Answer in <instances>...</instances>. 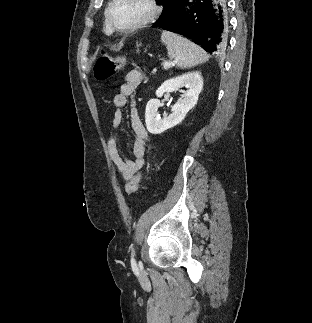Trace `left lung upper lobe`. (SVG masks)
Instances as JSON below:
<instances>
[{
    "label": "left lung upper lobe",
    "instance_id": "left-lung-upper-lobe-1",
    "mask_svg": "<svg viewBox=\"0 0 312 323\" xmlns=\"http://www.w3.org/2000/svg\"><path fill=\"white\" fill-rule=\"evenodd\" d=\"M156 1H157V4L163 5V12L160 18L155 23V27H158L170 18L171 14L173 13L174 6L178 0H156Z\"/></svg>",
    "mask_w": 312,
    "mask_h": 323
}]
</instances>
